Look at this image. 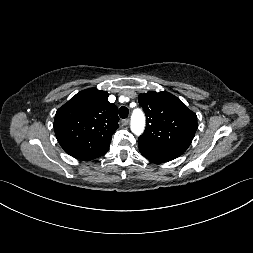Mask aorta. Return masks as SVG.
Listing matches in <instances>:
<instances>
[{
	"label": "aorta",
	"mask_w": 253,
	"mask_h": 253,
	"mask_svg": "<svg viewBox=\"0 0 253 253\" xmlns=\"http://www.w3.org/2000/svg\"><path fill=\"white\" fill-rule=\"evenodd\" d=\"M145 128V116L140 109H135L131 116V130L135 135L143 133Z\"/></svg>",
	"instance_id": "762f6f07"
}]
</instances>
